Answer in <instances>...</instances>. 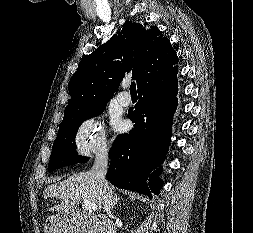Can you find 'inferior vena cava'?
I'll use <instances>...</instances> for the list:
<instances>
[{
	"instance_id": "inferior-vena-cava-1",
	"label": "inferior vena cava",
	"mask_w": 253,
	"mask_h": 233,
	"mask_svg": "<svg viewBox=\"0 0 253 233\" xmlns=\"http://www.w3.org/2000/svg\"><path fill=\"white\" fill-rule=\"evenodd\" d=\"M107 168H108V149L104 148L95 157L91 173L93 174L95 180L101 187L104 210L107 212L109 216H111L112 200L114 198L113 192L105 180ZM106 227H107L106 233H110L111 230L113 229V227L111 226V222L109 220L106 222Z\"/></svg>"
}]
</instances>
